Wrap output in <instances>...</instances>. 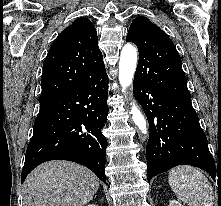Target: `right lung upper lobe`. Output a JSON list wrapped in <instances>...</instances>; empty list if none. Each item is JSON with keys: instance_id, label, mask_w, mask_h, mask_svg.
Segmentation results:
<instances>
[{"instance_id": "right-lung-upper-lobe-1", "label": "right lung upper lobe", "mask_w": 221, "mask_h": 206, "mask_svg": "<svg viewBox=\"0 0 221 206\" xmlns=\"http://www.w3.org/2000/svg\"><path fill=\"white\" fill-rule=\"evenodd\" d=\"M104 73L96 29L89 19L79 18L50 47L43 65L39 102L73 92Z\"/></svg>"}]
</instances>
